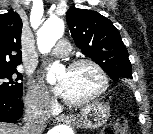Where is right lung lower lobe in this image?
<instances>
[{
	"label": "right lung lower lobe",
	"mask_w": 153,
	"mask_h": 134,
	"mask_svg": "<svg viewBox=\"0 0 153 134\" xmlns=\"http://www.w3.org/2000/svg\"><path fill=\"white\" fill-rule=\"evenodd\" d=\"M23 107L21 98L0 94V122H16L23 114Z\"/></svg>",
	"instance_id": "98d812e1"
}]
</instances>
